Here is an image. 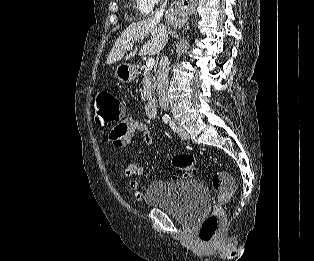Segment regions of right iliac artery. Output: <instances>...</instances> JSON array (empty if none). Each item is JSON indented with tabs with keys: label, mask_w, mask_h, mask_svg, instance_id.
I'll use <instances>...</instances> for the list:
<instances>
[{
	"label": "right iliac artery",
	"mask_w": 314,
	"mask_h": 261,
	"mask_svg": "<svg viewBox=\"0 0 314 261\" xmlns=\"http://www.w3.org/2000/svg\"><path fill=\"white\" fill-rule=\"evenodd\" d=\"M163 121L164 123H167L169 121V118H164Z\"/></svg>",
	"instance_id": "obj_1"
}]
</instances>
